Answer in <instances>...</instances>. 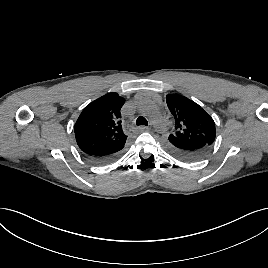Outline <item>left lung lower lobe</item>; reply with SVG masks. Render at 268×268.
<instances>
[{
	"instance_id": "1",
	"label": "left lung lower lobe",
	"mask_w": 268,
	"mask_h": 268,
	"mask_svg": "<svg viewBox=\"0 0 268 268\" xmlns=\"http://www.w3.org/2000/svg\"><path fill=\"white\" fill-rule=\"evenodd\" d=\"M165 146L171 155L187 162L203 159L212 147L205 141L184 139H167Z\"/></svg>"
}]
</instances>
